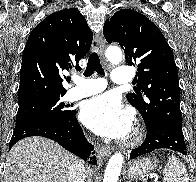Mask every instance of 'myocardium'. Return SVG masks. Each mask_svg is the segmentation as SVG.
I'll use <instances>...</instances> for the list:
<instances>
[{"label": "myocardium", "mask_w": 196, "mask_h": 182, "mask_svg": "<svg viewBox=\"0 0 196 182\" xmlns=\"http://www.w3.org/2000/svg\"><path fill=\"white\" fill-rule=\"evenodd\" d=\"M140 139V135L138 133H136L133 137V142H137Z\"/></svg>", "instance_id": "1"}]
</instances>
